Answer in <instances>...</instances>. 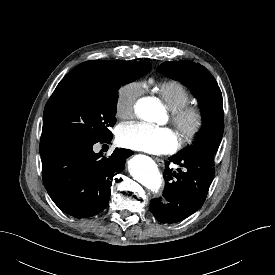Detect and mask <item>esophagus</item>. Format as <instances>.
Returning <instances> with one entry per match:
<instances>
[{"label": "esophagus", "instance_id": "34e87169", "mask_svg": "<svg viewBox=\"0 0 275 275\" xmlns=\"http://www.w3.org/2000/svg\"><path fill=\"white\" fill-rule=\"evenodd\" d=\"M155 161L158 163L159 166L163 167L164 166V160L160 159V158H155Z\"/></svg>", "mask_w": 275, "mask_h": 275}]
</instances>
